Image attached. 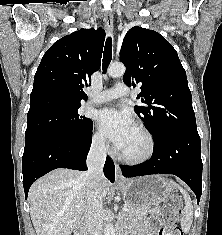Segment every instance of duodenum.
Wrapping results in <instances>:
<instances>
[{"instance_id":"410a0bca","label":"duodenum","mask_w":222,"mask_h":235,"mask_svg":"<svg viewBox=\"0 0 222 235\" xmlns=\"http://www.w3.org/2000/svg\"><path fill=\"white\" fill-rule=\"evenodd\" d=\"M74 235H86V230L83 224H80L75 228ZM119 235H124V234L120 233Z\"/></svg>"}]
</instances>
